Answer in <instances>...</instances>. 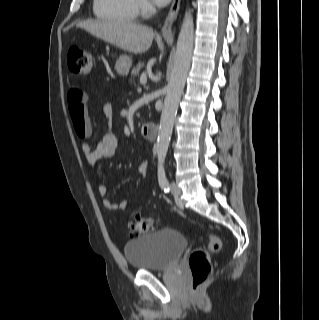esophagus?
<instances>
[{"instance_id":"esophagus-1","label":"esophagus","mask_w":319,"mask_h":320,"mask_svg":"<svg viewBox=\"0 0 319 320\" xmlns=\"http://www.w3.org/2000/svg\"><path fill=\"white\" fill-rule=\"evenodd\" d=\"M180 2L181 0H173L169 13L161 30V34L167 42L173 41L172 25L178 15Z\"/></svg>"}]
</instances>
